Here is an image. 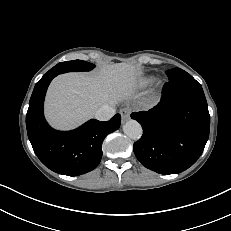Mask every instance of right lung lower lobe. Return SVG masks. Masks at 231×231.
I'll use <instances>...</instances> for the list:
<instances>
[{"mask_svg":"<svg viewBox=\"0 0 231 231\" xmlns=\"http://www.w3.org/2000/svg\"><path fill=\"white\" fill-rule=\"evenodd\" d=\"M55 76L42 77L34 87L26 115L28 138L46 167L59 174L78 176L98 166L103 140L120 127L121 116L116 114L109 121L92 119L69 132L52 129L45 121L43 103Z\"/></svg>","mask_w":231,"mask_h":231,"instance_id":"obj_1","label":"right lung lower lobe"}]
</instances>
